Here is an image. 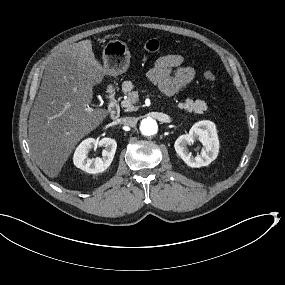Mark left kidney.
<instances>
[{"label": "left kidney", "mask_w": 285, "mask_h": 285, "mask_svg": "<svg viewBox=\"0 0 285 285\" xmlns=\"http://www.w3.org/2000/svg\"><path fill=\"white\" fill-rule=\"evenodd\" d=\"M199 141L205 146L197 157H194L188 149V145ZM174 148L181 159L192 168H200L209 165L218 155L219 142L217 139L215 125L210 121L196 123L188 134L177 138Z\"/></svg>", "instance_id": "5707ae66"}]
</instances>
